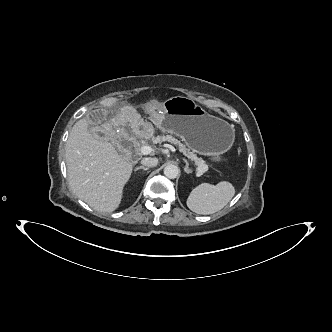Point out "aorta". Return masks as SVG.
<instances>
[{"label":"aorta","instance_id":"762f6f07","mask_svg":"<svg viewBox=\"0 0 332 332\" xmlns=\"http://www.w3.org/2000/svg\"><path fill=\"white\" fill-rule=\"evenodd\" d=\"M179 174V169L174 164H168L164 168V175L169 179H175Z\"/></svg>","mask_w":332,"mask_h":332}]
</instances>
